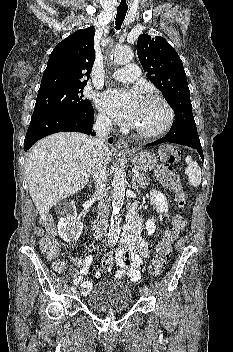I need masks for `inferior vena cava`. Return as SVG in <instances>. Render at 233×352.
Returning a JSON list of instances; mask_svg holds the SVG:
<instances>
[{
  "label": "inferior vena cava",
  "mask_w": 233,
  "mask_h": 352,
  "mask_svg": "<svg viewBox=\"0 0 233 352\" xmlns=\"http://www.w3.org/2000/svg\"><path fill=\"white\" fill-rule=\"evenodd\" d=\"M112 128L111 120L102 115H98L93 125L96 136L92 139L93 159L91 165V174L95 185V196L99 201L98 216L94 222L95 232L94 239L98 240L103 237L107 229L108 209L106 206V159L104 157L105 139Z\"/></svg>",
  "instance_id": "inferior-vena-cava-1"
}]
</instances>
